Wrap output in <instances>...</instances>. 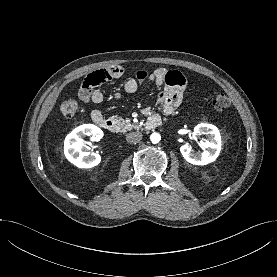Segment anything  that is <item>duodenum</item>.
<instances>
[{
    "label": "duodenum",
    "instance_id": "obj_1",
    "mask_svg": "<svg viewBox=\"0 0 277 277\" xmlns=\"http://www.w3.org/2000/svg\"><path fill=\"white\" fill-rule=\"evenodd\" d=\"M96 124L100 128L107 130L109 132H115L117 130L116 123L111 119L101 118L96 122ZM160 124H161L160 117L158 115H151L148 118V120L145 124V127H146V129L151 130V129H154V128L160 126Z\"/></svg>",
    "mask_w": 277,
    "mask_h": 277
}]
</instances>
